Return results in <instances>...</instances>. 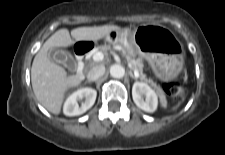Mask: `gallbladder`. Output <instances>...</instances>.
<instances>
[{"instance_id": "bac80fb5", "label": "gallbladder", "mask_w": 225, "mask_h": 155, "mask_svg": "<svg viewBox=\"0 0 225 155\" xmlns=\"http://www.w3.org/2000/svg\"><path fill=\"white\" fill-rule=\"evenodd\" d=\"M48 57L51 61L62 64L70 70L76 69V61L74 57L67 51L60 48H50Z\"/></svg>"}]
</instances>
